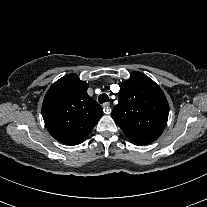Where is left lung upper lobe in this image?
Masks as SVG:
<instances>
[{
	"mask_svg": "<svg viewBox=\"0 0 207 207\" xmlns=\"http://www.w3.org/2000/svg\"><path fill=\"white\" fill-rule=\"evenodd\" d=\"M169 115L167 99L160 87L145 74L133 71L123 82L112 118L136 145L155 141L163 132Z\"/></svg>",
	"mask_w": 207,
	"mask_h": 207,
	"instance_id": "5c2ea615",
	"label": "left lung upper lobe"
}]
</instances>
